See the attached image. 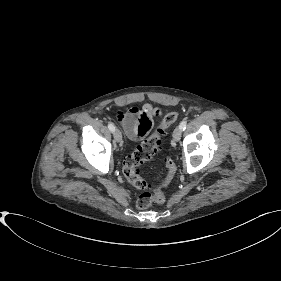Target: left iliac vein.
<instances>
[{
    "instance_id": "left-iliac-vein-1",
    "label": "left iliac vein",
    "mask_w": 281,
    "mask_h": 281,
    "mask_svg": "<svg viewBox=\"0 0 281 281\" xmlns=\"http://www.w3.org/2000/svg\"><path fill=\"white\" fill-rule=\"evenodd\" d=\"M181 134H182V130L180 129V127L175 128L174 132H173V139L178 142L181 138Z\"/></svg>"
}]
</instances>
